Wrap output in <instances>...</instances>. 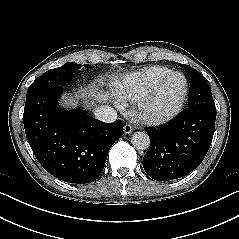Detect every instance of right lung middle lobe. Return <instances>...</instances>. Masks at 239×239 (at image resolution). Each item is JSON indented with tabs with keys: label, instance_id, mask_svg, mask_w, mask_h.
<instances>
[{
	"label": "right lung middle lobe",
	"instance_id": "1",
	"mask_svg": "<svg viewBox=\"0 0 239 239\" xmlns=\"http://www.w3.org/2000/svg\"><path fill=\"white\" fill-rule=\"evenodd\" d=\"M82 65L75 63H66L65 65L51 69L43 73L35 82L29 87L27 94L48 89L56 85H62L72 78V74L79 70ZM85 67H90L86 64Z\"/></svg>",
	"mask_w": 239,
	"mask_h": 239
}]
</instances>
